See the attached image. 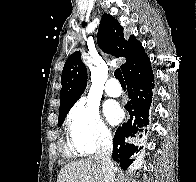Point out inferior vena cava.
<instances>
[{"label":"inferior vena cava","instance_id":"602c4592","mask_svg":"<svg viewBox=\"0 0 196 182\" xmlns=\"http://www.w3.org/2000/svg\"><path fill=\"white\" fill-rule=\"evenodd\" d=\"M113 145L112 135L109 132L101 134L99 147L95 153V158L99 159L102 163L104 171L105 182H114L115 180V167L111 161Z\"/></svg>","mask_w":196,"mask_h":182}]
</instances>
